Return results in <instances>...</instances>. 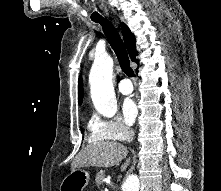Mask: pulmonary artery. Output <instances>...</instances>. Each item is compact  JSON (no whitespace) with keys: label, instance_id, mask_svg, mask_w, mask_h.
Returning <instances> with one entry per match:
<instances>
[{"label":"pulmonary artery","instance_id":"1","mask_svg":"<svg viewBox=\"0 0 221 191\" xmlns=\"http://www.w3.org/2000/svg\"><path fill=\"white\" fill-rule=\"evenodd\" d=\"M118 89L122 94L128 95L133 91V85L129 79H122L118 83Z\"/></svg>","mask_w":221,"mask_h":191}]
</instances>
